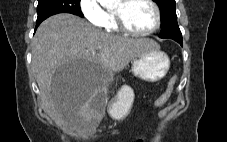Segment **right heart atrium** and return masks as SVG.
Instances as JSON below:
<instances>
[{"mask_svg": "<svg viewBox=\"0 0 227 142\" xmlns=\"http://www.w3.org/2000/svg\"><path fill=\"white\" fill-rule=\"evenodd\" d=\"M79 8L83 17L91 24L101 26L105 19V10L98 0H79Z\"/></svg>", "mask_w": 227, "mask_h": 142, "instance_id": "d8ad5b80", "label": "right heart atrium"}]
</instances>
